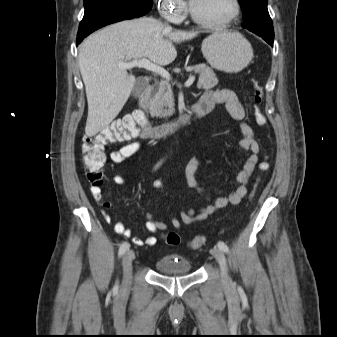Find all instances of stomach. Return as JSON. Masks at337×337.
<instances>
[{
    "mask_svg": "<svg viewBox=\"0 0 337 337\" xmlns=\"http://www.w3.org/2000/svg\"><path fill=\"white\" fill-rule=\"evenodd\" d=\"M202 52L213 68L226 73L242 71L253 58L251 44L234 31L208 36L202 43Z\"/></svg>",
    "mask_w": 337,
    "mask_h": 337,
    "instance_id": "1",
    "label": "stomach"
}]
</instances>
